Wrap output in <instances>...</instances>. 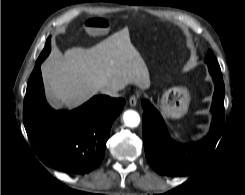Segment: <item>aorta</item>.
I'll use <instances>...</instances> for the list:
<instances>
[{
  "mask_svg": "<svg viewBox=\"0 0 245 195\" xmlns=\"http://www.w3.org/2000/svg\"><path fill=\"white\" fill-rule=\"evenodd\" d=\"M123 120L128 127H137L140 123V116L134 110H127L123 114Z\"/></svg>",
  "mask_w": 245,
  "mask_h": 195,
  "instance_id": "1",
  "label": "aorta"
}]
</instances>
